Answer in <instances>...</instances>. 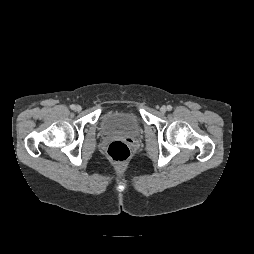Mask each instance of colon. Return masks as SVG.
I'll use <instances>...</instances> for the list:
<instances>
[{"mask_svg": "<svg viewBox=\"0 0 254 254\" xmlns=\"http://www.w3.org/2000/svg\"><path fill=\"white\" fill-rule=\"evenodd\" d=\"M108 160L115 166H124L131 157L129 145L123 141H114L106 149Z\"/></svg>", "mask_w": 254, "mask_h": 254, "instance_id": "5ec220e1", "label": "colon"}]
</instances>
